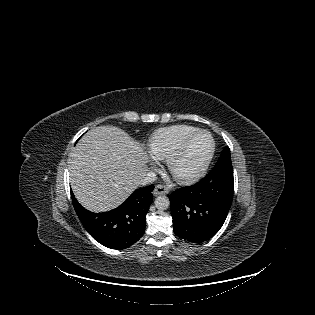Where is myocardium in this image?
Here are the masks:
<instances>
[{"label": "myocardium", "instance_id": "myocardium-1", "mask_svg": "<svg viewBox=\"0 0 315 315\" xmlns=\"http://www.w3.org/2000/svg\"><path fill=\"white\" fill-rule=\"evenodd\" d=\"M205 134L210 140V149L202 164L188 173H179L176 170L177 161L183 156L190 142L198 135ZM215 152V142L212 135L206 130H197L188 135L179 146L169 155L166 166L170 174L180 183L189 184L199 180L207 171Z\"/></svg>", "mask_w": 315, "mask_h": 315}]
</instances>
